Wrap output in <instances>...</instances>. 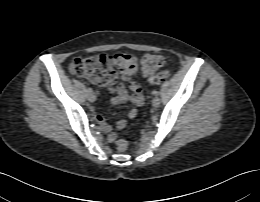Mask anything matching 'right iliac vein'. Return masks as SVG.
<instances>
[{"label":"right iliac vein","mask_w":260,"mask_h":202,"mask_svg":"<svg viewBox=\"0 0 260 202\" xmlns=\"http://www.w3.org/2000/svg\"><path fill=\"white\" fill-rule=\"evenodd\" d=\"M95 99H96V97H95L94 94L91 93V94L88 95V100H89L90 102H94Z\"/></svg>","instance_id":"obj_1"}]
</instances>
